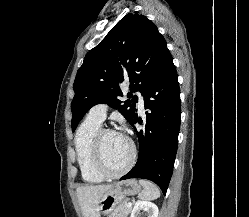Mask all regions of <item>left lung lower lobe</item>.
<instances>
[{"label": "left lung lower lobe", "instance_id": "1", "mask_svg": "<svg viewBox=\"0 0 249 217\" xmlns=\"http://www.w3.org/2000/svg\"><path fill=\"white\" fill-rule=\"evenodd\" d=\"M142 95L145 109H149L145 126L136 130V114L130 123L139 140V156L135 167L121 180L148 179L166 194L177 152L181 115L179 84L171 54Z\"/></svg>", "mask_w": 249, "mask_h": 217}]
</instances>
